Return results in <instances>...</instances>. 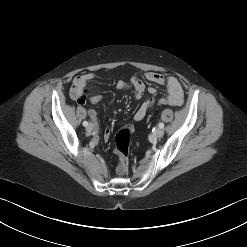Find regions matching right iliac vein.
Segmentation results:
<instances>
[{
    "instance_id": "63e3f726",
    "label": "right iliac vein",
    "mask_w": 247,
    "mask_h": 247,
    "mask_svg": "<svg viewBox=\"0 0 247 247\" xmlns=\"http://www.w3.org/2000/svg\"><path fill=\"white\" fill-rule=\"evenodd\" d=\"M93 129H94V125H93L92 123L88 124L87 127H86V130H87L88 132L93 131Z\"/></svg>"
}]
</instances>
